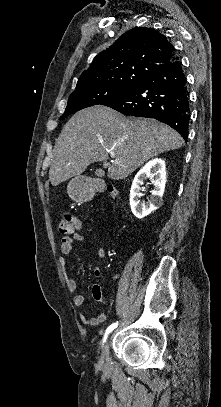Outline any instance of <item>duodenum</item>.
Instances as JSON below:
<instances>
[{
	"mask_svg": "<svg viewBox=\"0 0 221 407\" xmlns=\"http://www.w3.org/2000/svg\"><path fill=\"white\" fill-rule=\"evenodd\" d=\"M102 187H103V185L90 186V187L86 190L87 199H91V198L98 192V190L101 189Z\"/></svg>",
	"mask_w": 221,
	"mask_h": 407,
	"instance_id": "duodenum-1",
	"label": "duodenum"
}]
</instances>
